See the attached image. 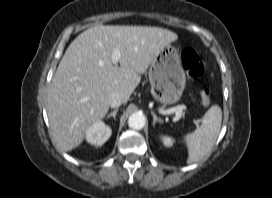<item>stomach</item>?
<instances>
[{"mask_svg": "<svg viewBox=\"0 0 272 198\" xmlns=\"http://www.w3.org/2000/svg\"><path fill=\"white\" fill-rule=\"evenodd\" d=\"M149 80L154 98L164 106L180 100L186 78L179 53L171 44L165 46L153 58Z\"/></svg>", "mask_w": 272, "mask_h": 198, "instance_id": "stomach-1", "label": "stomach"}]
</instances>
